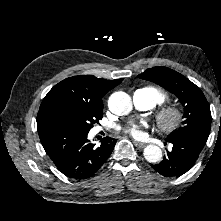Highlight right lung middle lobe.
Masks as SVG:
<instances>
[{
    "instance_id": "right-lung-middle-lobe-1",
    "label": "right lung middle lobe",
    "mask_w": 221,
    "mask_h": 221,
    "mask_svg": "<svg viewBox=\"0 0 221 221\" xmlns=\"http://www.w3.org/2000/svg\"><path fill=\"white\" fill-rule=\"evenodd\" d=\"M101 118L102 112L81 109L74 112L62 113L54 119V122L83 133H88L93 127V124L98 123Z\"/></svg>"
}]
</instances>
